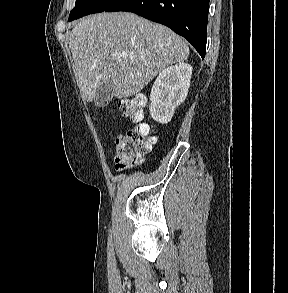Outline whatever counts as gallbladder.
I'll return each instance as SVG.
<instances>
[{"label":"gallbladder","mask_w":288,"mask_h":293,"mask_svg":"<svg viewBox=\"0 0 288 293\" xmlns=\"http://www.w3.org/2000/svg\"><path fill=\"white\" fill-rule=\"evenodd\" d=\"M112 96V82L111 80H109L97 89L96 96L94 98V103L97 107H105L112 100Z\"/></svg>","instance_id":"obj_1"}]
</instances>
